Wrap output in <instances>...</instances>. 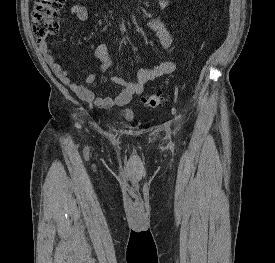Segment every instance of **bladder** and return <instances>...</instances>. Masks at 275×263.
Masks as SVG:
<instances>
[{"label": "bladder", "instance_id": "obj_1", "mask_svg": "<svg viewBox=\"0 0 275 263\" xmlns=\"http://www.w3.org/2000/svg\"><path fill=\"white\" fill-rule=\"evenodd\" d=\"M121 116L127 121H132L135 119V112L133 109L128 108L122 111Z\"/></svg>", "mask_w": 275, "mask_h": 263}]
</instances>
